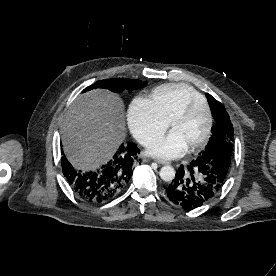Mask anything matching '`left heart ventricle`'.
Returning <instances> with one entry per match:
<instances>
[{"mask_svg": "<svg viewBox=\"0 0 276 276\" xmlns=\"http://www.w3.org/2000/svg\"><path fill=\"white\" fill-rule=\"evenodd\" d=\"M207 122L205 110L199 108L189 118L174 123L172 130L176 131L190 148L203 137Z\"/></svg>", "mask_w": 276, "mask_h": 276, "instance_id": "b2bd125f", "label": "left heart ventricle"}]
</instances>
